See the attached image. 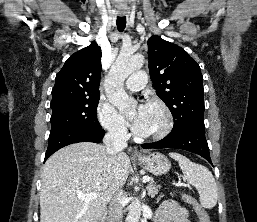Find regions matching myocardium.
Wrapping results in <instances>:
<instances>
[{
  "label": "myocardium",
  "mask_w": 257,
  "mask_h": 222,
  "mask_svg": "<svg viewBox=\"0 0 257 222\" xmlns=\"http://www.w3.org/2000/svg\"><path fill=\"white\" fill-rule=\"evenodd\" d=\"M148 105L157 106L163 113V123L159 129L154 132L145 134L143 136L144 139L150 140H160L165 138L172 130L174 119L173 114L169 108V106L159 98H151L148 101Z\"/></svg>",
  "instance_id": "myocardium-1"
}]
</instances>
